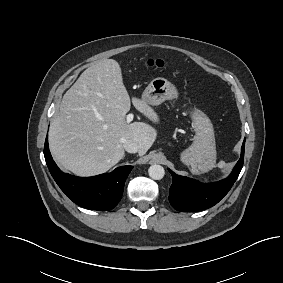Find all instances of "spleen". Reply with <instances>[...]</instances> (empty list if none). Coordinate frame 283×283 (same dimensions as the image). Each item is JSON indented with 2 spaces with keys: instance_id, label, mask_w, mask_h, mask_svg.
Segmentation results:
<instances>
[{
  "instance_id": "3e777b00",
  "label": "spleen",
  "mask_w": 283,
  "mask_h": 283,
  "mask_svg": "<svg viewBox=\"0 0 283 283\" xmlns=\"http://www.w3.org/2000/svg\"><path fill=\"white\" fill-rule=\"evenodd\" d=\"M225 166V163L223 162V161H221L219 164H218V167L219 168H223ZM214 167V163L213 164H211L210 166H209V168L206 170V171H208L209 169H212ZM205 172V171H204Z\"/></svg>"
}]
</instances>
